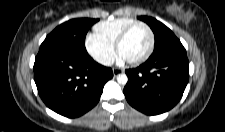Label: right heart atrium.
I'll list each match as a JSON object with an SVG mask.
<instances>
[{
    "label": "right heart atrium",
    "mask_w": 225,
    "mask_h": 132,
    "mask_svg": "<svg viewBox=\"0 0 225 132\" xmlns=\"http://www.w3.org/2000/svg\"><path fill=\"white\" fill-rule=\"evenodd\" d=\"M85 47L88 54L99 64L108 66L112 64L115 57L114 46L99 40L95 35L86 37Z\"/></svg>",
    "instance_id": "obj_1"
}]
</instances>
